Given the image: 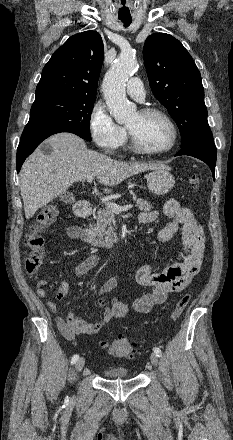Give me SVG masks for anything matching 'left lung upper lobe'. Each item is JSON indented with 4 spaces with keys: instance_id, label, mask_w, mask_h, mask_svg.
Masks as SVG:
<instances>
[{
    "instance_id": "5c2ea615",
    "label": "left lung upper lobe",
    "mask_w": 233,
    "mask_h": 440,
    "mask_svg": "<svg viewBox=\"0 0 233 440\" xmlns=\"http://www.w3.org/2000/svg\"><path fill=\"white\" fill-rule=\"evenodd\" d=\"M143 58L153 94L178 125L181 147L212 136L201 75L181 42L165 33L150 35Z\"/></svg>"
}]
</instances>
